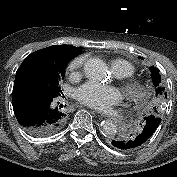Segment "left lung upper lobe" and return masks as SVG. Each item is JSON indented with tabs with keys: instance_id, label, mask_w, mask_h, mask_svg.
Instances as JSON below:
<instances>
[{
	"instance_id": "left-lung-upper-lobe-1",
	"label": "left lung upper lobe",
	"mask_w": 177,
	"mask_h": 177,
	"mask_svg": "<svg viewBox=\"0 0 177 177\" xmlns=\"http://www.w3.org/2000/svg\"><path fill=\"white\" fill-rule=\"evenodd\" d=\"M151 71H152V81H153V85L155 88L154 107L151 111V114L157 117H160L161 106L167 98V92L161 81L159 69L155 67H151ZM141 128H142V125H141Z\"/></svg>"
}]
</instances>
